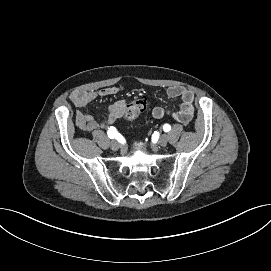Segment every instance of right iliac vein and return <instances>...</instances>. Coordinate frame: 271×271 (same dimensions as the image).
<instances>
[{"instance_id": "63e3f726", "label": "right iliac vein", "mask_w": 271, "mask_h": 271, "mask_svg": "<svg viewBox=\"0 0 271 271\" xmlns=\"http://www.w3.org/2000/svg\"><path fill=\"white\" fill-rule=\"evenodd\" d=\"M111 149L113 150V151H117L118 149H119V143L117 142V141H112L111 142Z\"/></svg>"}]
</instances>
